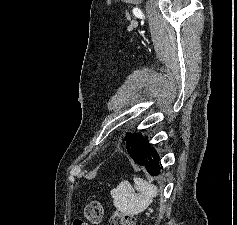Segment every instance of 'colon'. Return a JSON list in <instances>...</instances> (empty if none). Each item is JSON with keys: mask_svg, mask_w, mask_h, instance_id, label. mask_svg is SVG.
I'll use <instances>...</instances> for the list:
<instances>
[{"mask_svg": "<svg viewBox=\"0 0 237 225\" xmlns=\"http://www.w3.org/2000/svg\"><path fill=\"white\" fill-rule=\"evenodd\" d=\"M103 218V206L98 201H90L85 207V219H75L73 225H97ZM109 225H136L134 216L115 213L109 221Z\"/></svg>", "mask_w": 237, "mask_h": 225, "instance_id": "colon-1", "label": "colon"}]
</instances>
